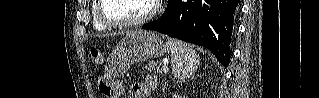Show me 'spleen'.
Listing matches in <instances>:
<instances>
[{
    "mask_svg": "<svg viewBox=\"0 0 319 98\" xmlns=\"http://www.w3.org/2000/svg\"><path fill=\"white\" fill-rule=\"evenodd\" d=\"M166 47L171 54L174 76L181 80L192 76L199 65V55L196 51L192 47L174 39H168Z\"/></svg>",
    "mask_w": 319,
    "mask_h": 98,
    "instance_id": "obj_1",
    "label": "spleen"
}]
</instances>
